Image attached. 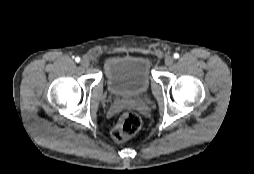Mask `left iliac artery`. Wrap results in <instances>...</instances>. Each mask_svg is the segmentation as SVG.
<instances>
[{
    "label": "left iliac artery",
    "mask_w": 254,
    "mask_h": 174,
    "mask_svg": "<svg viewBox=\"0 0 254 174\" xmlns=\"http://www.w3.org/2000/svg\"><path fill=\"white\" fill-rule=\"evenodd\" d=\"M174 58H179V54H178V53H175V54H174Z\"/></svg>",
    "instance_id": "1"
}]
</instances>
